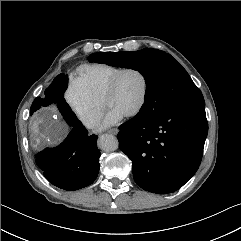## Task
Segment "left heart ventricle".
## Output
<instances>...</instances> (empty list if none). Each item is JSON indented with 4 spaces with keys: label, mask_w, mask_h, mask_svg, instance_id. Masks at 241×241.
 <instances>
[{
    "label": "left heart ventricle",
    "mask_w": 241,
    "mask_h": 241,
    "mask_svg": "<svg viewBox=\"0 0 241 241\" xmlns=\"http://www.w3.org/2000/svg\"><path fill=\"white\" fill-rule=\"evenodd\" d=\"M143 92V80L135 71L122 75L114 93L106 103L107 108H114L126 115L132 111L140 101Z\"/></svg>",
    "instance_id": "obj_1"
}]
</instances>
